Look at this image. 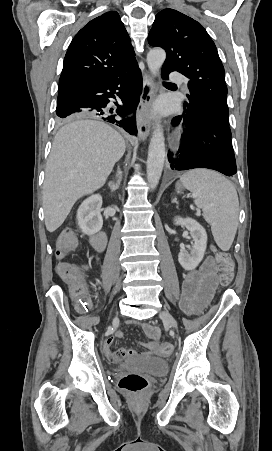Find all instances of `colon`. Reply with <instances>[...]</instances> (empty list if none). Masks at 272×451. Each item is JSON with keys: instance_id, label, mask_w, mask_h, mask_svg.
<instances>
[{"instance_id": "obj_1", "label": "colon", "mask_w": 272, "mask_h": 451, "mask_svg": "<svg viewBox=\"0 0 272 451\" xmlns=\"http://www.w3.org/2000/svg\"><path fill=\"white\" fill-rule=\"evenodd\" d=\"M78 248V237L76 232L67 228L63 230L60 236V243L58 244V252L61 256H75ZM215 258L218 261V268L220 271L219 281L221 285H226L232 281L234 276V262L228 252L224 250H216ZM58 277L61 278L64 289H72L71 295L73 302L82 307L91 303V294L89 288H84L85 275L82 274V269L78 265L63 263L58 266ZM161 354H170V345L160 346ZM122 353H118L113 357L115 362L124 359ZM119 387L121 390L129 391L134 394L143 392L149 387L148 378L140 373H130L123 376L119 380Z\"/></svg>"}]
</instances>
